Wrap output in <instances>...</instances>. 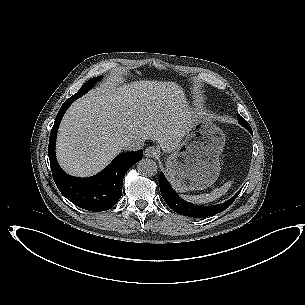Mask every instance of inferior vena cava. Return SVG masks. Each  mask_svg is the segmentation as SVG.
I'll return each mask as SVG.
<instances>
[{
	"label": "inferior vena cava",
	"instance_id": "inferior-vena-cava-1",
	"mask_svg": "<svg viewBox=\"0 0 305 305\" xmlns=\"http://www.w3.org/2000/svg\"><path fill=\"white\" fill-rule=\"evenodd\" d=\"M144 145V140H136V139H126L122 143V147L127 151H138L142 149Z\"/></svg>",
	"mask_w": 305,
	"mask_h": 305
}]
</instances>
